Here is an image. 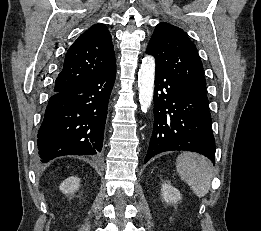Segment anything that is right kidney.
I'll return each mask as SVG.
<instances>
[{
    "instance_id": "1",
    "label": "right kidney",
    "mask_w": 261,
    "mask_h": 231,
    "mask_svg": "<svg viewBox=\"0 0 261 231\" xmlns=\"http://www.w3.org/2000/svg\"><path fill=\"white\" fill-rule=\"evenodd\" d=\"M79 185H80V178L70 176L61 183L60 190L64 194H74V192L78 190Z\"/></svg>"
}]
</instances>
